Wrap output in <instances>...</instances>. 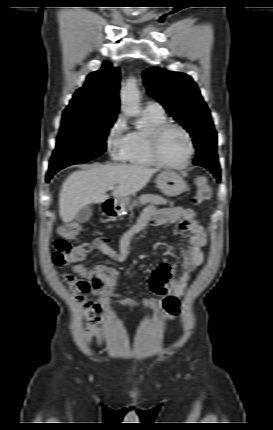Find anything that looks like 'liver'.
Masks as SVG:
<instances>
[{"mask_svg":"<svg viewBox=\"0 0 273 430\" xmlns=\"http://www.w3.org/2000/svg\"><path fill=\"white\" fill-rule=\"evenodd\" d=\"M156 169L142 165H99L87 170L75 171L64 181L59 195V212L63 222L76 218L77 213L92 203H102L113 191L115 199L126 198L141 190L150 180Z\"/></svg>","mask_w":273,"mask_h":430,"instance_id":"1","label":"liver"}]
</instances>
